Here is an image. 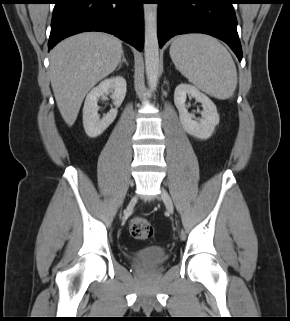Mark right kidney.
<instances>
[{"instance_id":"obj_1","label":"right kidney","mask_w":290,"mask_h":321,"mask_svg":"<svg viewBox=\"0 0 290 321\" xmlns=\"http://www.w3.org/2000/svg\"><path fill=\"white\" fill-rule=\"evenodd\" d=\"M126 87V80L122 76H115L101 81L88 93L83 107V126L89 137L101 135L115 120L118 112L117 108L111 109L103 118H100L98 99L111 93L113 104L118 107L125 98Z\"/></svg>"}]
</instances>
